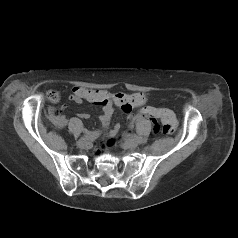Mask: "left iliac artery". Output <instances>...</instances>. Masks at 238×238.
<instances>
[{
    "label": "left iliac artery",
    "mask_w": 238,
    "mask_h": 238,
    "mask_svg": "<svg viewBox=\"0 0 238 238\" xmlns=\"http://www.w3.org/2000/svg\"><path fill=\"white\" fill-rule=\"evenodd\" d=\"M131 138H133L134 140H137L138 142H141L142 141V138L141 137H138L137 135L135 134H131L129 135Z\"/></svg>",
    "instance_id": "1"
}]
</instances>
